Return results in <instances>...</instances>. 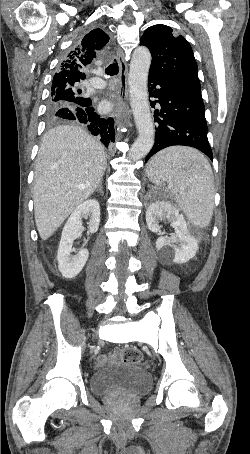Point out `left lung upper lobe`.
<instances>
[{
  "instance_id": "5c2ea615",
  "label": "left lung upper lobe",
  "mask_w": 250,
  "mask_h": 454,
  "mask_svg": "<svg viewBox=\"0 0 250 454\" xmlns=\"http://www.w3.org/2000/svg\"><path fill=\"white\" fill-rule=\"evenodd\" d=\"M140 44L151 52L150 74L173 82L200 85L190 44L170 27L157 24L147 28Z\"/></svg>"
}]
</instances>
